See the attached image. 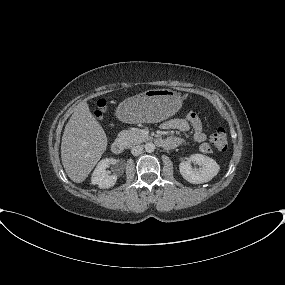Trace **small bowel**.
I'll use <instances>...</instances> for the list:
<instances>
[{
    "label": "small bowel",
    "instance_id": "1",
    "mask_svg": "<svg viewBox=\"0 0 285 285\" xmlns=\"http://www.w3.org/2000/svg\"><path fill=\"white\" fill-rule=\"evenodd\" d=\"M164 130H179L183 133H188L191 131L192 139L198 143H203L206 141V134L203 131V125L199 116L190 112L186 118H174L165 121L161 125ZM184 138L179 136H170L164 140V146L166 148H175L184 143Z\"/></svg>",
    "mask_w": 285,
    "mask_h": 285
}]
</instances>
